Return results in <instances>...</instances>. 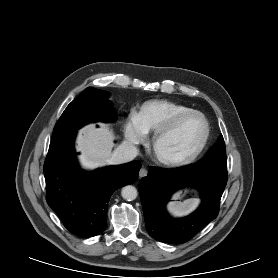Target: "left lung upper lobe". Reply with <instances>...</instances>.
<instances>
[{"mask_svg": "<svg viewBox=\"0 0 278 278\" xmlns=\"http://www.w3.org/2000/svg\"><path fill=\"white\" fill-rule=\"evenodd\" d=\"M196 167L227 173L226 149L223 136L208 150L207 154L194 164Z\"/></svg>", "mask_w": 278, "mask_h": 278, "instance_id": "5c2ea615", "label": "left lung upper lobe"}]
</instances>
